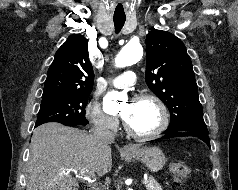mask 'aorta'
Masks as SVG:
<instances>
[{"instance_id": "762f6f07", "label": "aorta", "mask_w": 238, "mask_h": 190, "mask_svg": "<svg viewBox=\"0 0 238 190\" xmlns=\"http://www.w3.org/2000/svg\"><path fill=\"white\" fill-rule=\"evenodd\" d=\"M143 55V49L140 43L129 41L120 51L115 59L117 67H126L138 62ZM127 95L125 93L111 91L103 99V111L105 113H114L119 110V103L125 101Z\"/></svg>"}]
</instances>
